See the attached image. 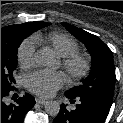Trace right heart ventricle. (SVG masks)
Here are the masks:
<instances>
[{
    "label": "right heart ventricle",
    "instance_id": "obj_1",
    "mask_svg": "<svg viewBox=\"0 0 123 123\" xmlns=\"http://www.w3.org/2000/svg\"><path fill=\"white\" fill-rule=\"evenodd\" d=\"M32 41L38 45L51 48L58 56L65 57L77 52L78 43L70 35L62 32H51L48 34H35L31 37Z\"/></svg>",
    "mask_w": 123,
    "mask_h": 123
}]
</instances>
